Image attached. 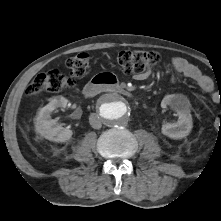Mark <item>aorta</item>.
Returning a JSON list of instances; mask_svg holds the SVG:
<instances>
[{"instance_id":"1","label":"aorta","mask_w":221,"mask_h":221,"mask_svg":"<svg viewBox=\"0 0 221 221\" xmlns=\"http://www.w3.org/2000/svg\"><path fill=\"white\" fill-rule=\"evenodd\" d=\"M130 111L129 102L119 94L106 95L99 102V116L108 126H118L127 122Z\"/></svg>"}]
</instances>
